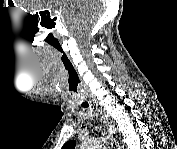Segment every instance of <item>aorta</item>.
<instances>
[{
    "label": "aorta",
    "mask_w": 177,
    "mask_h": 149,
    "mask_svg": "<svg viewBox=\"0 0 177 149\" xmlns=\"http://www.w3.org/2000/svg\"><path fill=\"white\" fill-rule=\"evenodd\" d=\"M103 145H104V140L97 139L93 141L92 143L85 144L83 146V149H102Z\"/></svg>",
    "instance_id": "762f6f07"
}]
</instances>
